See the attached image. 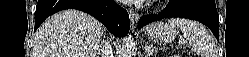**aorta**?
<instances>
[{"mask_svg":"<svg viewBox=\"0 0 249 57\" xmlns=\"http://www.w3.org/2000/svg\"><path fill=\"white\" fill-rule=\"evenodd\" d=\"M135 56V43L131 35L124 39L123 46V57H134Z\"/></svg>","mask_w":249,"mask_h":57,"instance_id":"1","label":"aorta"}]
</instances>
